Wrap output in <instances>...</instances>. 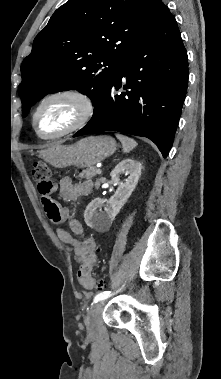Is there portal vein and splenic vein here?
Instances as JSON below:
<instances>
[{
    "label": "portal vein and splenic vein",
    "instance_id": "obj_1",
    "mask_svg": "<svg viewBox=\"0 0 221 379\" xmlns=\"http://www.w3.org/2000/svg\"><path fill=\"white\" fill-rule=\"evenodd\" d=\"M96 171L98 174H101V172H102V170L100 168H97Z\"/></svg>",
    "mask_w": 221,
    "mask_h": 379
}]
</instances>
